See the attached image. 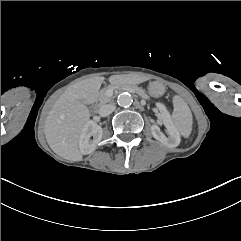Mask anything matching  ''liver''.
Listing matches in <instances>:
<instances>
[{
    "label": "liver",
    "mask_w": 241,
    "mask_h": 241,
    "mask_svg": "<svg viewBox=\"0 0 241 241\" xmlns=\"http://www.w3.org/2000/svg\"><path fill=\"white\" fill-rule=\"evenodd\" d=\"M116 77L114 75L109 78L111 84H115ZM104 79L97 76L74 83L49 111L45 121V137L50 148L60 157L71 161L82 160L78 140L90 118L86 104L97 99Z\"/></svg>",
    "instance_id": "liver-1"
}]
</instances>
